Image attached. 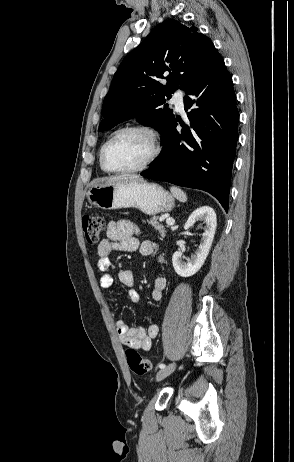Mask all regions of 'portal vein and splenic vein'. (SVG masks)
<instances>
[{
    "label": "portal vein and splenic vein",
    "mask_w": 294,
    "mask_h": 462,
    "mask_svg": "<svg viewBox=\"0 0 294 462\" xmlns=\"http://www.w3.org/2000/svg\"><path fill=\"white\" fill-rule=\"evenodd\" d=\"M166 223H167V225H169V226H174L175 220H174L173 218H167V219H166Z\"/></svg>",
    "instance_id": "obj_1"
}]
</instances>
